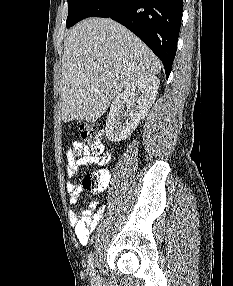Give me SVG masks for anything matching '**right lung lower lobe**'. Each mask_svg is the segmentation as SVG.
Returning a JSON list of instances; mask_svg holds the SVG:
<instances>
[{
    "mask_svg": "<svg viewBox=\"0 0 233 286\" xmlns=\"http://www.w3.org/2000/svg\"><path fill=\"white\" fill-rule=\"evenodd\" d=\"M183 0H92L75 24L96 16L111 18L136 34L162 61L169 77L176 54Z\"/></svg>",
    "mask_w": 233,
    "mask_h": 286,
    "instance_id": "obj_1",
    "label": "right lung lower lobe"
}]
</instances>
